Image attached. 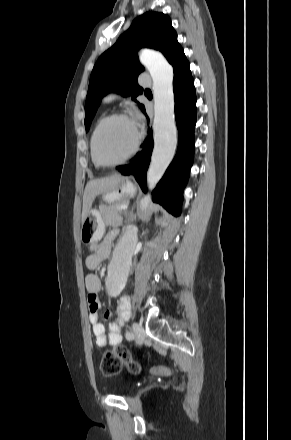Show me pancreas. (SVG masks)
Masks as SVG:
<instances>
[{"instance_id": "obj_1", "label": "pancreas", "mask_w": 291, "mask_h": 440, "mask_svg": "<svg viewBox=\"0 0 291 440\" xmlns=\"http://www.w3.org/2000/svg\"><path fill=\"white\" fill-rule=\"evenodd\" d=\"M121 204H124V202L113 203L111 205H100L99 211L107 226H116L122 221Z\"/></svg>"}]
</instances>
